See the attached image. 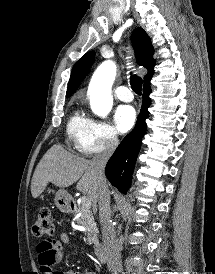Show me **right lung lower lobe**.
Returning <instances> with one entry per match:
<instances>
[{"instance_id": "obj_1", "label": "right lung lower lobe", "mask_w": 215, "mask_h": 274, "mask_svg": "<svg viewBox=\"0 0 215 274\" xmlns=\"http://www.w3.org/2000/svg\"><path fill=\"white\" fill-rule=\"evenodd\" d=\"M150 93V83L144 84L143 102L136 126L131 133L125 136L106 165L105 174L108 180L124 194L130 185L132 171L141 147V140L146 133L145 120L149 116Z\"/></svg>"}]
</instances>
